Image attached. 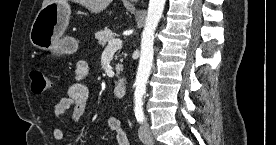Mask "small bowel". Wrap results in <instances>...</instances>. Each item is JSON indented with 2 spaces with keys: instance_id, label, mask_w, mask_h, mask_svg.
Returning <instances> with one entry per match:
<instances>
[{
  "instance_id": "small-bowel-1",
  "label": "small bowel",
  "mask_w": 276,
  "mask_h": 145,
  "mask_svg": "<svg viewBox=\"0 0 276 145\" xmlns=\"http://www.w3.org/2000/svg\"><path fill=\"white\" fill-rule=\"evenodd\" d=\"M89 67L84 61H80L75 70L77 81L71 85L67 91L66 97L60 99L54 107V115L57 117L63 116L67 110L72 109L69 123L78 122L85 112L89 100V89L82 82L88 74ZM108 128L115 133L117 145H130L127 134L123 131L120 121L116 117L107 119ZM66 135L65 127H58L54 130L53 136L57 141H62Z\"/></svg>"
}]
</instances>
